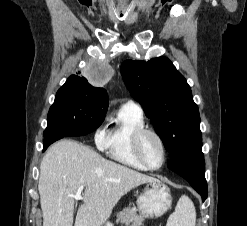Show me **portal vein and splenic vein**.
Here are the masks:
<instances>
[{
  "label": "portal vein and splenic vein",
  "mask_w": 247,
  "mask_h": 226,
  "mask_svg": "<svg viewBox=\"0 0 247 226\" xmlns=\"http://www.w3.org/2000/svg\"><path fill=\"white\" fill-rule=\"evenodd\" d=\"M83 188H84L83 185L78 188L76 195L73 196L75 199H82L81 192H82Z\"/></svg>",
  "instance_id": "1"
}]
</instances>
